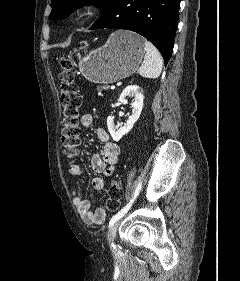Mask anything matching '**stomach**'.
Segmentation results:
<instances>
[{
  "instance_id": "0dacf381",
  "label": "stomach",
  "mask_w": 240,
  "mask_h": 281,
  "mask_svg": "<svg viewBox=\"0 0 240 281\" xmlns=\"http://www.w3.org/2000/svg\"><path fill=\"white\" fill-rule=\"evenodd\" d=\"M145 40L130 31H116L105 45L79 62L82 75L100 84L114 83L137 70L145 54Z\"/></svg>"
}]
</instances>
